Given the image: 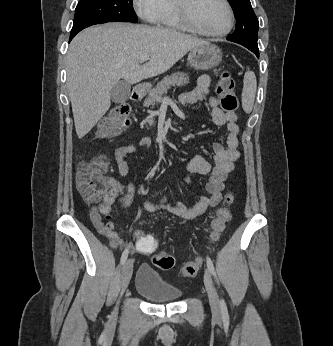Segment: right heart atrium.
<instances>
[{"label":"right heart atrium","instance_id":"right-heart-atrium-1","mask_svg":"<svg viewBox=\"0 0 333 346\" xmlns=\"http://www.w3.org/2000/svg\"><path fill=\"white\" fill-rule=\"evenodd\" d=\"M137 15L144 21L155 24L162 16L166 0H132Z\"/></svg>","mask_w":333,"mask_h":346}]
</instances>
